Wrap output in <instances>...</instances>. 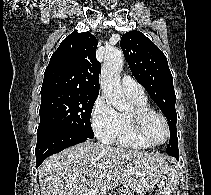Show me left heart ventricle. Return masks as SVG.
<instances>
[{
  "instance_id": "obj_1",
  "label": "left heart ventricle",
  "mask_w": 211,
  "mask_h": 195,
  "mask_svg": "<svg viewBox=\"0 0 211 195\" xmlns=\"http://www.w3.org/2000/svg\"><path fill=\"white\" fill-rule=\"evenodd\" d=\"M145 135L154 143L162 142L166 137V128L163 121L157 117H151L145 125Z\"/></svg>"
}]
</instances>
